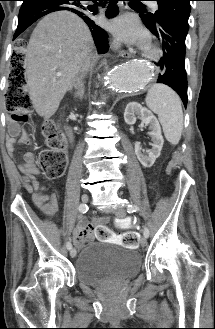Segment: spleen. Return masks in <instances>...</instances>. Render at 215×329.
<instances>
[{"label": "spleen", "mask_w": 215, "mask_h": 329, "mask_svg": "<svg viewBox=\"0 0 215 329\" xmlns=\"http://www.w3.org/2000/svg\"><path fill=\"white\" fill-rule=\"evenodd\" d=\"M145 102L158 115L167 141L177 145L183 130V111L179 96L170 87L156 84L149 89Z\"/></svg>", "instance_id": "1"}]
</instances>
